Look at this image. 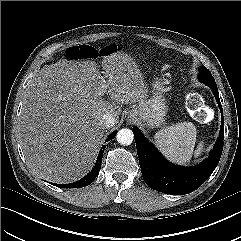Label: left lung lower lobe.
<instances>
[{"mask_svg": "<svg viewBox=\"0 0 241 241\" xmlns=\"http://www.w3.org/2000/svg\"><path fill=\"white\" fill-rule=\"evenodd\" d=\"M218 102L221 112L220 134L209 157L201 164L184 168L166 161L158 150L144 137L137 127H133L137 154L142 176L146 184L159 192L184 195L199 188L219 163L224 140L223 109L217 85H208Z\"/></svg>", "mask_w": 241, "mask_h": 241, "instance_id": "0a47b994", "label": "left lung lower lobe"}]
</instances>
